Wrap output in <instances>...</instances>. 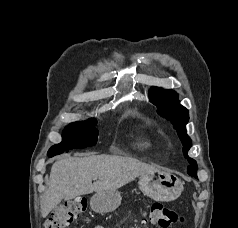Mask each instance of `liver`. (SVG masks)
Instances as JSON below:
<instances>
[{
	"mask_svg": "<svg viewBox=\"0 0 238 228\" xmlns=\"http://www.w3.org/2000/svg\"><path fill=\"white\" fill-rule=\"evenodd\" d=\"M153 171L158 169L132 157H64L52 165L48 189L42 197L41 215L46 218L63 199L70 200L92 192L117 190L136 177ZM93 180L96 181L92 183Z\"/></svg>",
	"mask_w": 238,
	"mask_h": 228,
	"instance_id": "1",
	"label": "liver"
}]
</instances>
